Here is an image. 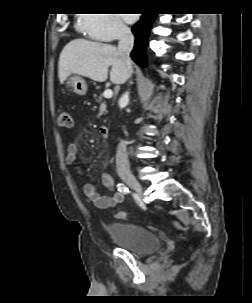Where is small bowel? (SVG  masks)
I'll use <instances>...</instances> for the list:
<instances>
[{"instance_id": "c3829d8e", "label": "small bowel", "mask_w": 252, "mask_h": 303, "mask_svg": "<svg viewBox=\"0 0 252 303\" xmlns=\"http://www.w3.org/2000/svg\"><path fill=\"white\" fill-rule=\"evenodd\" d=\"M78 153V146L76 143H70L67 146V154L65 157L66 164L71 166L74 171L82 175L83 172L79 166L76 165ZM102 185L112 194L101 195L99 194L92 184H86L84 186V194L89 198L93 205L98 209H109L115 207L117 204L122 203L125 199L123 192L118 190L116 182L112 175L109 173H103L101 175Z\"/></svg>"}]
</instances>
